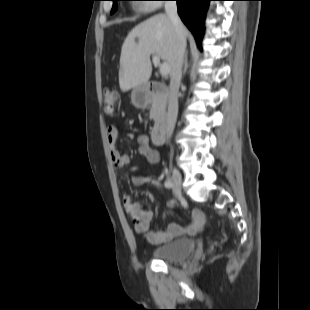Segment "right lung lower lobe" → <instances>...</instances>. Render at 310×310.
<instances>
[{"label": "right lung lower lobe", "mask_w": 310, "mask_h": 310, "mask_svg": "<svg viewBox=\"0 0 310 310\" xmlns=\"http://www.w3.org/2000/svg\"><path fill=\"white\" fill-rule=\"evenodd\" d=\"M178 14L184 24L192 32L198 46L204 35V19L208 4L211 0H176Z\"/></svg>", "instance_id": "98d812e1"}]
</instances>
